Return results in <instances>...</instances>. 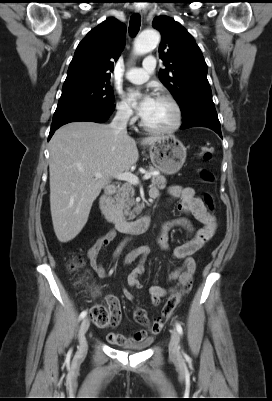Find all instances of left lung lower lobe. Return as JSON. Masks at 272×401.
I'll list each match as a JSON object with an SVG mask.
<instances>
[{
    "label": "left lung lower lobe",
    "instance_id": "0a47b994",
    "mask_svg": "<svg viewBox=\"0 0 272 401\" xmlns=\"http://www.w3.org/2000/svg\"><path fill=\"white\" fill-rule=\"evenodd\" d=\"M203 126L214 130L221 138L220 122L215 107H202L191 110L183 115V125L181 129Z\"/></svg>",
    "mask_w": 272,
    "mask_h": 401
}]
</instances>
